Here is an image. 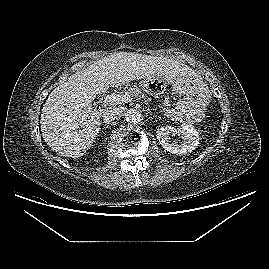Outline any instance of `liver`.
I'll list each match as a JSON object with an SVG mask.
<instances>
[{
  "mask_svg": "<svg viewBox=\"0 0 269 269\" xmlns=\"http://www.w3.org/2000/svg\"><path fill=\"white\" fill-rule=\"evenodd\" d=\"M194 75L187 65L166 57L130 52L106 56L72 74L50 93L40 119L44 141L60 156L79 158L100 129L104 110L92 107L98 94L148 77L173 82Z\"/></svg>",
  "mask_w": 269,
  "mask_h": 269,
  "instance_id": "6515ba94",
  "label": "liver"
}]
</instances>
